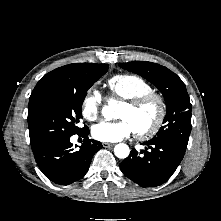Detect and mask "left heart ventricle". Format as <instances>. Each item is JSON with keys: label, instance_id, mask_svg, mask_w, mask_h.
I'll use <instances>...</instances> for the list:
<instances>
[{"label": "left heart ventricle", "instance_id": "obj_1", "mask_svg": "<svg viewBox=\"0 0 221 221\" xmlns=\"http://www.w3.org/2000/svg\"><path fill=\"white\" fill-rule=\"evenodd\" d=\"M157 109L154 104H149L140 110H132L131 108L121 105L117 116L121 119L128 120L135 130H144L148 128L156 118Z\"/></svg>", "mask_w": 221, "mask_h": 221}]
</instances>
